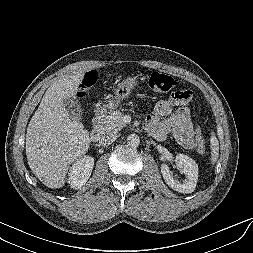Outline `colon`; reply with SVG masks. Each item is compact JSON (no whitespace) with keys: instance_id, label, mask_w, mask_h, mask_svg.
I'll list each match as a JSON object with an SVG mask.
<instances>
[{"instance_id":"colon-1","label":"colon","mask_w":253,"mask_h":253,"mask_svg":"<svg viewBox=\"0 0 253 253\" xmlns=\"http://www.w3.org/2000/svg\"><path fill=\"white\" fill-rule=\"evenodd\" d=\"M96 80V74L93 71L87 72L82 80L83 90L91 87ZM176 85L175 79L167 74L160 72H153L149 77V87L152 91L156 93H167L171 91ZM172 96L177 100H183L184 102H189L191 100L192 94L189 90H178L173 92ZM196 149L203 153L205 151V143L202 137L197 134L195 138Z\"/></svg>"}]
</instances>
